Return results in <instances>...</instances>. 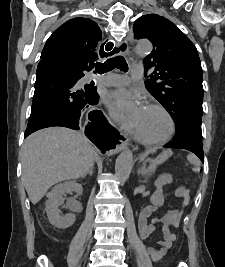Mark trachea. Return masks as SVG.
<instances>
[{
	"label": "trachea",
	"instance_id": "3493384b",
	"mask_svg": "<svg viewBox=\"0 0 225 267\" xmlns=\"http://www.w3.org/2000/svg\"><path fill=\"white\" fill-rule=\"evenodd\" d=\"M109 44L111 45L110 49H112L113 44L111 42ZM115 50L116 49H114L112 51V53H115ZM115 68H118L123 72H127L128 71V65H127V62L124 59V57L116 56V57L108 59L104 63H96L95 64V71L97 73H99V74H103L105 72H109V71H111V70H113Z\"/></svg>",
	"mask_w": 225,
	"mask_h": 267
}]
</instances>
